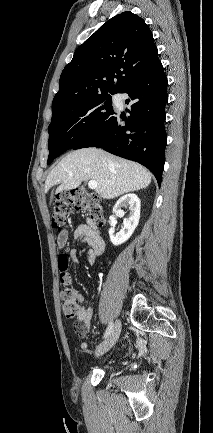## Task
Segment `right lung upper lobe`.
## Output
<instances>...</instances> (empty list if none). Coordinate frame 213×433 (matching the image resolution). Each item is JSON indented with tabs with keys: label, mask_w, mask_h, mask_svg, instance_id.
<instances>
[{
	"label": "right lung upper lobe",
	"mask_w": 213,
	"mask_h": 433,
	"mask_svg": "<svg viewBox=\"0 0 213 433\" xmlns=\"http://www.w3.org/2000/svg\"><path fill=\"white\" fill-rule=\"evenodd\" d=\"M157 58L152 32L141 17L129 11L114 16L76 49L65 66L52 102V116L107 92L121 93Z\"/></svg>",
	"instance_id": "cb5924a9"
}]
</instances>
